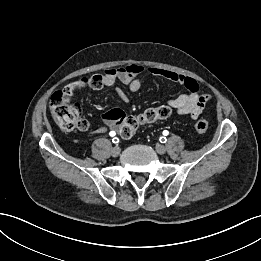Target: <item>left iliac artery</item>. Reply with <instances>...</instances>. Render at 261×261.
I'll return each instance as SVG.
<instances>
[{"mask_svg": "<svg viewBox=\"0 0 261 261\" xmlns=\"http://www.w3.org/2000/svg\"><path fill=\"white\" fill-rule=\"evenodd\" d=\"M168 133H169V132H168L167 130H164V131H163V135H164V136H167ZM166 141H167L166 137H161V138H160V142H161V143H165Z\"/></svg>", "mask_w": 261, "mask_h": 261, "instance_id": "1", "label": "left iliac artery"}]
</instances>
